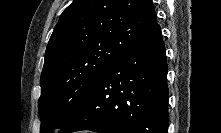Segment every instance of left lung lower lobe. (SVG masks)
<instances>
[{
    "mask_svg": "<svg viewBox=\"0 0 221 133\" xmlns=\"http://www.w3.org/2000/svg\"><path fill=\"white\" fill-rule=\"evenodd\" d=\"M167 71L162 34L156 24L109 65L59 133H167Z\"/></svg>",
    "mask_w": 221,
    "mask_h": 133,
    "instance_id": "obj_1",
    "label": "left lung lower lobe"
}]
</instances>
